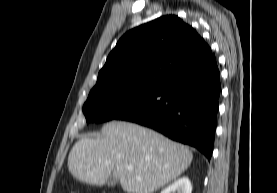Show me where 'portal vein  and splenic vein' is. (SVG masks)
Here are the masks:
<instances>
[{"instance_id": "1", "label": "portal vein and splenic vein", "mask_w": 277, "mask_h": 193, "mask_svg": "<svg viewBox=\"0 0 277 193\" xmlns=\"http://www.w3.org/2000/svg\"><path fill=\"white\" fill-rule=\"evenodd\" d=\"M128 170L132 171L133 170V166H128Z\"/></svg>"}]
</instances>
